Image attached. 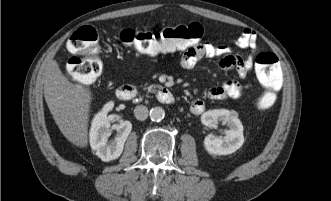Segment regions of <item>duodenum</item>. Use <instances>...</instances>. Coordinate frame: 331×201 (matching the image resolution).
Masks as SVG:
<instances>
[{
    "label": "duodenum",
    "mask_w": 331,
    "mask_h": 201,
    "mask_svg": "<svg viewBox=\"0 0 331 201\" xmlns=\"http://www.w3.org/2000/svg\"><path fill=\"white\" fill-rule=\"evenodd\" d=\"M137 93V87L130 83L123 84L116 90V96L120 100L132 99L137 95ZM157 99L163 104H172L175 100L171 91L164 86H161L157 89Z\"/></svg>",
    "instance_id": "1"
}]
</instances>
